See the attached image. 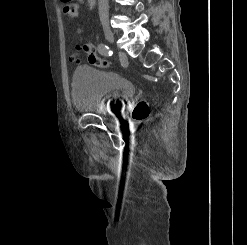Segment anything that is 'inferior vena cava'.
<instances>
[{
	"instance_id": "obj_1",
	"label": "inferior vena cava",
	"mask_w": 247,
	"mask_h": 245,
	"mask_svg": "<svg viewBox=\"0 0 247 245\" xmlns=\"http://www.w3.org/2000/svg\"><path fill=\"white\" fill-rule=\"evenodd\" d=\"M99 17L103 27L108 26L109 21V5L108 0H98Z\"/></svg>"
}]
</instances>
